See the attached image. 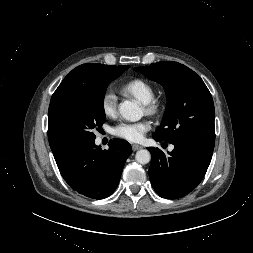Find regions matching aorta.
<instances>
[{
    "mask_svg": "<svg viewBox=\"0 0 253 253\" xmlns=\"http://www.w3.org/2000/svg\"><path fill=\"white\" fill-rule=\"evenodd\" d=\"M120 115L128 121H137L143 111L136 101L125 100L119 106ZM135 159L140 164H147L151 159L150 152L147 149H141L136 152Z\"/></svg>",
    "mask_w": 253,
    "mask_h": 253,
    "instance_id": "obj_1",
    "label": "aorta"
}]
</instances>
